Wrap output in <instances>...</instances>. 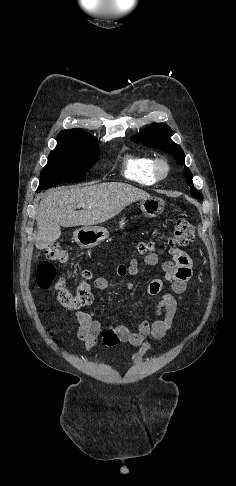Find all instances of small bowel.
Listing matches in <instances>:
<instances>
[{
	"label": "small bowel",
	"mask_w": 236,
	"mask_h": 486,
	"mask_svg": "<svg viewBox=\"0 0 236 486\" xmlns=\"http://www.w3.org/2000/svg\"><path fill=\"white\" fill-rule=\"evenodd\" d=\"M169 253L172 256V261H164L160 266L165 275L164 280L171 285L172 293H165L160 296L155 309L156 318L153 321L143 320L136 331L125 325H115L105 331L103 335V341L107 346L125 342L137 347V352L132 356L135 363L140 362L143 355L150 349L149 337L161 339L170 330L177 313L178 303L182 300L187 283L192 276V260L189 255L177 248H170ZM144 261L149 266H155L158 265L159 258L157 254L150 253ZM137 271L138 261L136 259H132L128 266L120 264L116 269L117 274L121 277L126 274L134 275ZM164 280L152 279L148 283L147 294L152 297L160 295ZM93 285L95 289L100 291L107 290L109 287L108 280L103 277H97ZM127 288L129 291H133L135 287L132 283H129ZM75 317L79 325L77 337L90 350L97 345L98 338L103 333L102 324L90 312L76 311Z\"/></svg>",
	"instance_id": "1"
}]
</instances>
